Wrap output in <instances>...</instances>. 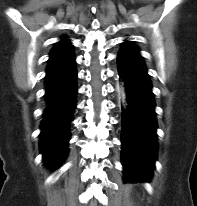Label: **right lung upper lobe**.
<instances>
[{
  "label": "right lung upper lobe",
  "mask_w": 197,
  "mask_h": 206,
  "mask_svg": "<svg viewBox=\"0 0 197 206\" xmlns=\"http://www.w3.org/2000/svg\"><path fill=\"white\" fill-rule=\"evenodd\" d=\"M74 58L73 45L67 37H63L60 42L55 43L50 52L45 83L67 69Z\"/></svg>",
  "instance_id": "right-lung-upper-lobe-1"
}]
</instances>
